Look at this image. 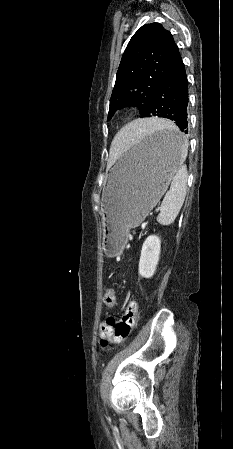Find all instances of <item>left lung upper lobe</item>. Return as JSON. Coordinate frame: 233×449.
Masks as SVG:
<instances>
[{"label":"left lung upper lobe","mask_w":233,"mask_h":449,"mask_svg":"<svg viewBox=\"0 0 233 449\" xmlns=\"http://www.w3.org/2000/svg\"><path fill=\"white\" fill-rule=\"evenodd\" d=\"M172 34L159 23L143 25L129 41L116 76L108 120L126 106L140 109L144 117L152 97L166 75L180 62Z\"/></svg>","instance_id":"left-lung-upper-lobe-1"}]
</instances>
